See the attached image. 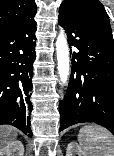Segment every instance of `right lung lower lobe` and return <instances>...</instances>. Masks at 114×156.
<instances>
[{
	"mask_svg": "<svg viewBox=\"0 0 114 156\" xmlns=\"http://www.w3.org/2000/svg\"><path fill=\"white\" fill-rule=\"evenodd\" d=\"M34 16L0 31V125H13L30 137V91L36 56Z\"/></svg>",
	"mask_w": 114,
	"mask_h": 156,
	"instance_id": "right-lung-lower-lobe-1",
	"label": "right lung lower lobe"
}]
</instances>
